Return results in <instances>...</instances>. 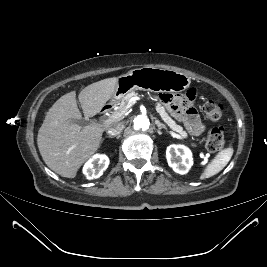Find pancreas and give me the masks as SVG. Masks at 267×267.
<instances>
[{
    "instance_id": "obj_1",
    "label": "pancreas",
    "mask_w": 267,
    "mask_h": 267,
    "mask_svg": "<svg viewBox=\"0 0 267 267\" xmlns=\"http://www.w3.org/2000/svg\"><path fill=\"white\" fill-rule=\"evenodd\" d=\"M138 93L135 91H131L126 96H124L121 100H119L116 104L118 105V109L115 112L126 111V106L129 100L133 97H136ZM156 110L160 114L163 121L172 129L173 131L177 132L181 137L186 138L188 136L187 132L183 130V127L178 125L166 112L165 108L162 106L161 103H156Z\"/></svg>"
}]
</instances>
